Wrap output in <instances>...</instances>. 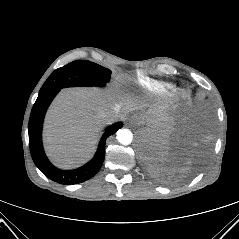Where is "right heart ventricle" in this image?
Masks as SVG:
<instances>
[{
	"label": "right heart ventricle",
	"instance_id": "obj_1",
	"mask_svg": "<svg viewBox=\"0 0 239 239\" xmlns=\"http://www.w3.org/2000/svg\"><path fill=\"white\" fill-rule=\"evenodd\" d=\"M137 85L147 91H162L166 87L165 84L147 79V78H138L136 81Z\"/></svg>",
	"mask_w": 239,
	"mask_h": 239
}]
</instances>
